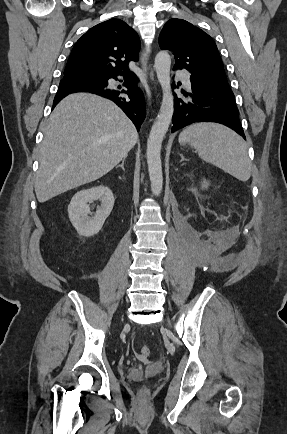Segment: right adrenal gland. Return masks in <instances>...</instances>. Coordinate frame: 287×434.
I'll return each instance as SVG.
<instances>
[{
  "instance_id": "right-adrenal-gland-1",
  "label": "right adrenal gland",
  "mask_w": 287,
  "mask_h": 434,
  "mask_svg": "<svg viewBox=\"0 0 287 434\" xmlns=\"http://www.w3.org/2000/svg\"><path fill=\"white\" fill-rule=\"evenodd\" d=\"M125 159H126V158H124V159L122 160L121 165H118V166H117V167H121L123 171H125V169H124V162H125Z\"/></svg>"
}]
</instances>
